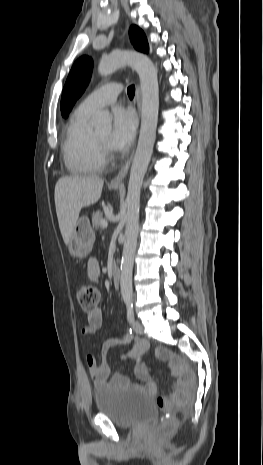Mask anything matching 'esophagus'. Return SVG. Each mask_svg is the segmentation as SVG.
I'll list each match as a JSON object with an SVG mask.
<instances>
[{"label": "esophagus", "mask_w": 263, "mask_h": 465, "mask_svg": "<svg viewBox=\"0 0 263 465\" xmlns=\"http://www.w3.org/2000/svg\"><path fill=\"white\" fill-rule=\"evenodd\" d=\"M136 102H137L138 113L140 116L141 114V91L139 87L136 88ZM132 159H133V153L125 161V163L123 164L118 174L111 180L112 185H119L122 183V181L124 180L125 176L128 173Z\"/></svg>", "instance_id": "esophagus-1"}]
</instances>
